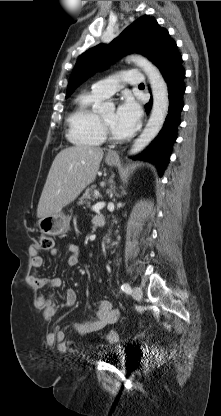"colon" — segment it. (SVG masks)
I'll return each mask as SVG.
<instances>
[{
  "instance_id": "obj_1",
  "label": "colon",
  "mask_w": 221,
  "mask_h": 416,
  "mask_svg": "<svg viewBox=\"0 0 221 416\" xmlns=\"http://www.w3.org/2000/svg\"><path fill=\"white\" fill-rule=\"evenodd\" d=\"M39 247L43 250H51L54 247V239L50 235H42L39 240ZM106 340L108 342L117 341V333L115 331H108L106 334Z\"/></svg>"
}]
</instances>
